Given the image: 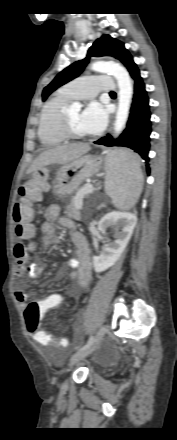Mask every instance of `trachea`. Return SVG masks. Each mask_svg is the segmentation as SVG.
Listing matches in <instances>:
<instances>
[{
  "mask_svg": "<svg viewBox=\"0 0 177 440\" xmlns=\"http://www.w3.org/2000/svg\"><path fill=\"white\" fill-rule=\"evenodd\" d=\"M110 94H111V95H114V94H115V92L111 91V92H110Z\"/></svg>",
  "mask_w": 177,
  "mask_h": 440,
  "instance_id": "trachea-1",
  "label": "trachea"
}]
</instances>
